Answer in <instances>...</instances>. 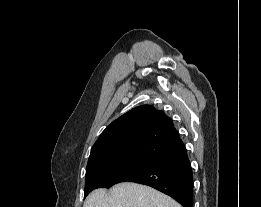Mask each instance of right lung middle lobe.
<instances>
[{"label": "right lung middle lobe", "instance_id": "obj_1", "mask_svg": "<svg viewBox=\"0 0 261 207\" xmlns=\"http://www.w3.org/2000/svg\"><path fill=\"white\" fill-rule=\"evenodd\" d=\"M157 162L158 160L152 158L130 156L88 165L86 168L84 197L95 188H109Z\"/></svg>", "mask_w": 261, "mask_h": 207}]
</instances>
